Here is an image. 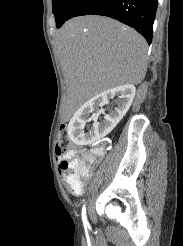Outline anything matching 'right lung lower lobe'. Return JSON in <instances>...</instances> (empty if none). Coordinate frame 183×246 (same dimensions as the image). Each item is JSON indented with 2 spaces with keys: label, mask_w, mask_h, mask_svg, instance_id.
<instances>
[{
  "label": "right lung lower lobe",
  "mask_w": 183,
  "mask_h": 246,
  "mask_svg": "<svg viewBox=\"0 0 183 246\" xmlns=\"http://www.w3.org/2000/svg\"><path fill=\"white\" fill-rule=\"evenodd\" d=\"M157 6V0H79L66 20L82 15L108 16L133 27L150 44Z\"/></svg>",
  "instance_id": "obj_1"
}]
</instances>
